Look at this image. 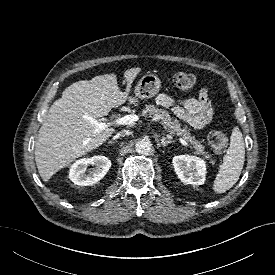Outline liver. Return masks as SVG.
<instances>
[{"mask_svg": "<svg viewBox=\"0 0 275 275\" xmlns=\"http://www.w3.org/2000/svg\"><path fill=\"white\" fill-rule=\"evenodd\" d=\"M140 71L137 67L124 72L125 92L119 89L117 76L113 73L78 81L63 91L62 97L50 107L35 145V162L43 181L47 182L57 171L112 136L115 128L95 132V126L84 116L97 120L125 103Z\"/></svg>", "mask_w": 275, "mask_h": 275, "instance_id": "liver-1", "label": "liver"}]
</instances>
